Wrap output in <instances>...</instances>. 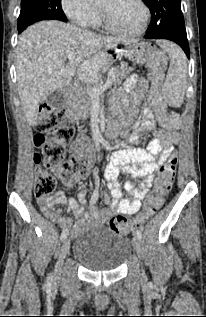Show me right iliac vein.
I'll return each instance as SVG.
<instances>
[{
    "label": "right iliac vein",
    "mask_w": 206,
    "mask_h": 317,
    "mask_svg": "<svg viewBox=\"0 0 206 317\" xmlns=\"http://www.w3.org/2000/svg\"><path fill=\"white\" fill-rule=\"evenodd\" d=\"M69 249H70V240L66 238L61 245L58 261L55 267L56 278H59L61 276L63 261L65 257L67 256Z\"/></svg>",
    "instance_id": "63e3f726"
}]
</instances>
